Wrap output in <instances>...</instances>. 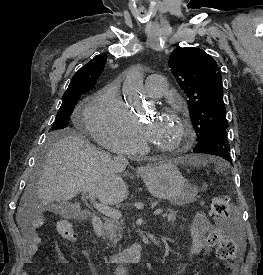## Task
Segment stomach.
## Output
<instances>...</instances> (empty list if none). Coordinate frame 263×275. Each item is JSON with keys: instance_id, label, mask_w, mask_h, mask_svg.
Here are the masks:
<instances>
[{"instance_id": "stomach-1", "label": "stomach", "mask_w": 263, "mask_h": 275, "mask_svg": "<svg viewBox=\"0 0 263 275\" xmlns=\"http://www.w3.org/2000/svg\"><path fill=\"white\" fill-rule=\"evenodd\" d=\"M142 177L148 190L156 198L169 200L175 205H184L196 199L197 190L186 183L176 163L147 167Z\"/></svg>"}]
</instances>
